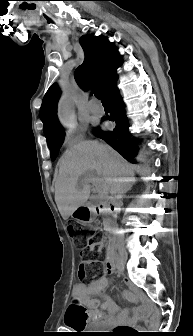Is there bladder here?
<instances>
[{
  "label": "bladder",
  "instance_id": "obj_1",
  "mask_svg": "<svg viewBox=\"0 0 193 336\" xmlns=\"http://www.w3.org/2000/svg\"><path fill=\"white\" fill-rule=\"evenodd\" d=\"M86 329H102L99 323L91 322L84 325Z\"/></svg>",
  "mask_w": 193,
  "mask_h": 336
}]
</instances>
